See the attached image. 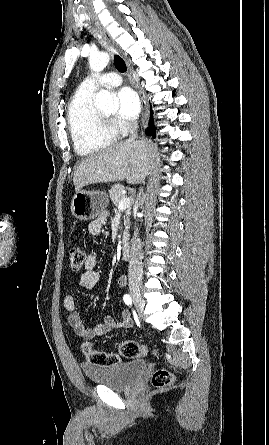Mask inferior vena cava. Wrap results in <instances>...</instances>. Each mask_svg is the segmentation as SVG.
<instances>
[{"mask_svg": "<svg viewBox=\"0 0 269 445\" xmlns=\"http://www.w3.org/2000/svg\"><path fill=\"white\" fill-rule=\"evenodd\" d=\"M138 122L137 120H131L129 124L130 137L129 141H135L138 138ZM142 250H141V240L138 236V229L134 232V238L132 242L128 278L129 281L141 280L142 279Z\"/></svg>", "mask_w": 269, "mask_h": 445, "instance_id": "1", "label": "inferior vena cava"}]
</instances>
